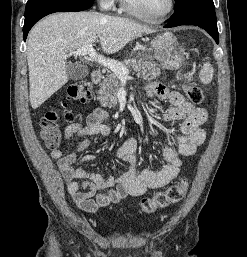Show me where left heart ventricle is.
Returning a JSON list of instances; mask_svg holds the SVG:
<instances>
[{
    "instance_id": "obj_1",
    "label": "left heart ventricle",
    "mask_w": 247,
    "mask_h": 257,
    "mask_svg": "<svg viewBox=\"0 0 247 257\" xmlns=\"http://www.w3.org/2000/svg\"><path fill=\"white\" fill-rule=\"evenodd\" d=\"M136 9L150 16H159L168 8L169 0H130Z\"/></svg>"
}]
</instances>
